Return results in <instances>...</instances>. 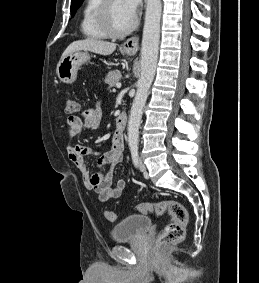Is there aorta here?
I'll use <instances>...</instances> for the list:
<instances>
[{"label": "aorta", "mask_w": 259, "mask_h": 283, "mask_svg": "<svg viewBox=\"0 0 259 283\" xmlns=\"http://www.w3.org/2000/svg\"><path fill=\"white\" fill-rule=\"evenodd\" d=\"M161 0H147L141 47V75L128 121L129 146H137L139 126L150 86L153 82L159 51Z\"/></svg>", "instance_id": "aorta-1"}]
</instances>
